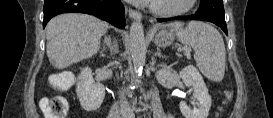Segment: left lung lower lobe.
Returning a JSON list of instances; mask_svg holds the SVG:
<instances>
[{
  "label": "left lung lower lobe",
  "mask_w": 273,
  "mask_h": 118,
  "mask_svg": "<svg viewBox=\"0 0 273 118\" xmlns=\"http://www.w3.org/2000/svg\"><path fill=\"white\" fill-rule=\"evenodd\" d=\"M173 19H188V20L209 21V22H212V23L216 24L217 26L221 27V29L226 33V35L228 34L225 18L216 16V15H211V14L196 12L195 14L189 15V16H178V17H173V18H163V19H157V21L158 22H166V21L173 20Z\"/></svg>",
  "instance_id": "1"
}]
</instances>
